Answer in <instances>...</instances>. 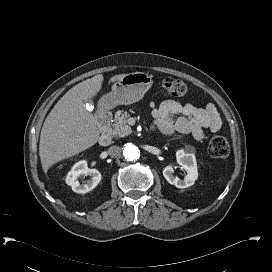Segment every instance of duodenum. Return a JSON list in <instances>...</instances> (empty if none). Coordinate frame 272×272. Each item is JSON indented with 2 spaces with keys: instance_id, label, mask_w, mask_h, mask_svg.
I'll use <instances>...</instances> for the list:
<instances>
[{
  "instance_id": "duodenum-1",
  "label": "duodenum",
  "mask_w": 272,
  "mask_h": 272,
  "mask_svg": "<svg viewBox=\"0 0 272 272\" xmlns=\"http://www.w3.org/2000/svg\"><path fill=\"white\" fill-rule=\"evenodd\" d=\"M96 119L101 129V136L99 139V143L102 146H108L112 143L111 112L107 110L106 108L101 109L98 111Z\"/></svg>"
}]
</instances>
